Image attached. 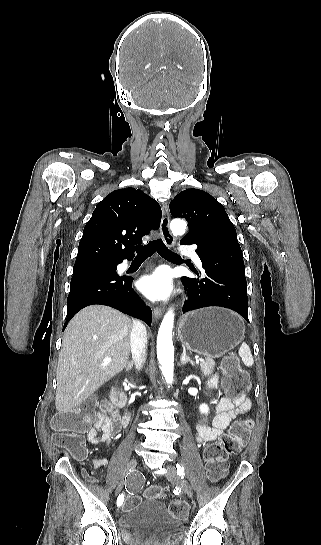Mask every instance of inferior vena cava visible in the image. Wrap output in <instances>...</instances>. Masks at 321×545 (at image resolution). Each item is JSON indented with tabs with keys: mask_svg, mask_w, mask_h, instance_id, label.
<instances>
[{
	"mask_svg": "<svg viewBox=\"0 0 321 545\" xmlns=\"http://www.w3.org/2000/svg\"><path fill=\"white\" fill-rule=\"evenodd\" d=\"M132 359L136 369L140 371L146 361L147 333L140 321H133V329L130 337Z\"/></svg>",
	"mask_w": 321,
	"mask_h": 545,
	"instance_id": "602c4592",
	"label": "inferior vena cava"
}]
</instances>
